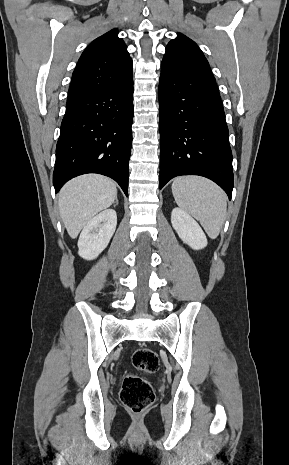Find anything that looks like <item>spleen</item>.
<instances>
[{
    "label": "spleen",
    "mask_w": 289,
    "mask_h": 465,
    "mask_svg": "<svg viewBox=\"0 0 289 465\" xmlns=\"http://www.w3.org/2000/svg\"><path fill=\"white\" fill-rule=\"evenodd\" d=\"M172 193L177 205L196 218L210 238H217L226 218L224 191L207 178L180 176L172 183Z\"/></svg>",
    "instance_id": "spleen-1"
}]
</instances>
